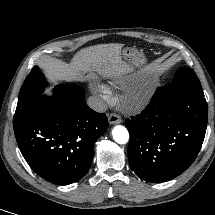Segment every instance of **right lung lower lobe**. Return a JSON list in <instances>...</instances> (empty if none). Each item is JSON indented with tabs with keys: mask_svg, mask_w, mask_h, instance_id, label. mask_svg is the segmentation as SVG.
<instances>
[{
	"mask_svg": "<svg viewBox=\"0 0 215 215\" xmlns=\"http://www.w3.org/2000/svg\"><path fill=\"white\" fill-rule=\"evenodd\" d=\"M107 127L106 115L85 104L81 87L59 85L14 131L29 166L53 184L67 185L88 172L94 143Z\"/></svg>",
	"mask_w": 215,
	"mask_h": 215,
	"instance_id": "obj_1",
	"label": "right lung lower lobe"
}]
</instances>
